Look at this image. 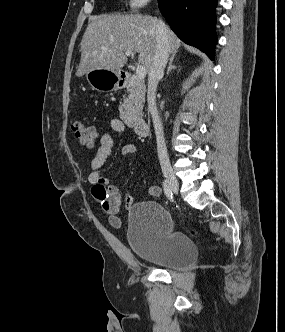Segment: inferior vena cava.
Wrapping results in <instances>:
<instances>
[{"label": "inferior vena cava", "instance_id": "602c4592", "mask_svg": "<svg viewBox=\"0 0 285 332\" xmlns=\"http://www.w3.org/2000/svg\"><path fill=\"white\" fill-rule=\"evenodd\" d=\"M156 52L148 75L147 101L148 110L152 115L156 134L157 152L161 163H169V157L164 139L163 126L156 106V89L159 80L164 75V68L169 57L168 29L162 20H158L156 27Z\"/></svg>", "mask_w": 285, "mask_h": 332}]
</instances>
